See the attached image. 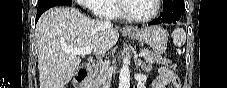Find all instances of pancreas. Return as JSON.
I'll list each match as a JSON object with an SVG mask.
<instances>
[{
	"instance_id": "pancreas-1",
	"label": "pancreas",
	"mask_w": 227,
	"mask_h": 88,
	"mask_svg": "<svg viewBox=\"0 0 227 88\" xmlns=\"http://www.w3.org/2000/svg\"><path fill=\"white\" fill-rule=\"evenodd\" d=\"M144 60L148 66H151L154 63H158V64L166 65L172 69L176 68V65L172 64L169 60L164 59L161 56L153 53H150L149 55L144 56ZM107 68H108V63H104L100 68H97L95 70V73L92 75L90 79L91 88H96L98 87V85H100V83L106 76Z\"/></svg>"
}]
</instances>
